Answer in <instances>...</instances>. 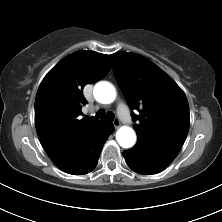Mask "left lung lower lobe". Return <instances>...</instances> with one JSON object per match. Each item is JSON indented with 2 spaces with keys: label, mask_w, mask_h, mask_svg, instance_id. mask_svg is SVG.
Instances as JSON below:
<instances>
[{
  "label": "left lung lower lobe",
  "mask_w": 222,
  "mask_h": 222,
  "mask_svg": "<svg viewBox=\"0 0 222 222\" xmlns=\"http://www.w3.org/2000/svg\"><path fill=\"white\" fill-rule=\"evenodd\" d=\"M123 156L128 166L140 174H156L167 167L131 149L123 151Z\"/></svg>",
  "instance_id": "obj_1"
}]
</instances>
